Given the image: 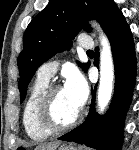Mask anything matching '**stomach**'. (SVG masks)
I'll return each instance as SVG.
<instances>
[{
  "label": "stomach",
  "instance_id": "obj_1",
  "mask_svg": "<svg viewBox=\"0 0 139 150\" xmlns=\"http://www.w3.org/2000/svg\"><path fill=\"white\" fill-rule=\"evenodd\" d=\"M58 150H81V149L74 148L73 146L62 145Z\"/></svg>",
  "mask_w": 139,
  "mask_h": 150
}]
</instances>
